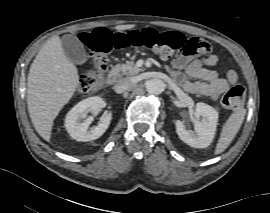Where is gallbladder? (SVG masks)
Listing matches in <instances>:
<instances>
[{
  "mask_svg": "<svg viewBox=\"0 0 270 213\" xmlns=\"http://www.w3.org/2000/svg\"><path fill=\"white\" fill-rule=\"evenodd\" d=\"M62 49L66 57L73 63L83 64L87 60V54L83 43L73 35H64L61 38Z\"/></svg>",
  "mask_w": 270,
  "mask_h": 213,
  "instance_id": "gallbladder-1",
  "label": "gallbladder"
}]
</instances>
